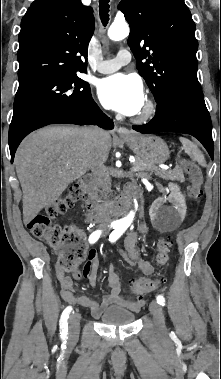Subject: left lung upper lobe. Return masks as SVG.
Masks as SVG:
<instances>
[{
	"label": "left lung upper lobe",
	"mask_w": 221,
	"mask_h": 379,
	"mask_svg": "<svg viewBox=\"0 0 221 379\" xmlns=\"http://www.w3.org/2000/svg\"><path fill=\"white\" fill-rule=\"evenodd\" d=\"M119 9L130 25L128 45L137 69L156 103L166 97L205 103L197 79L195 23L184 0H122Z\"/></svg>",
	"instance_id": "left-lung-upper-lobe-1"
}]
</instances>
